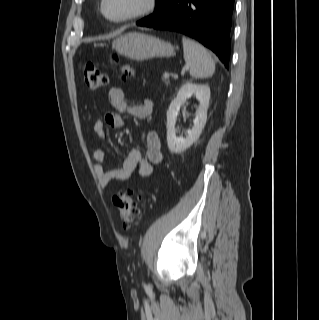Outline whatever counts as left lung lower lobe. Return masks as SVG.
I'll use <instances>...</instances> for the list:
<instances>
[{
  "mask_svg": "<svg viewBox=\"0 0 319 320\" xmlns=\"http://www.w3.org/2000/svg\"><path fill=\"white\" fill-rule=\"evenodd\" d=\"M234 0H163L138 26L172 30L195 38L229 67Z\"/></svg>",
  "mask_w": 319,
  "mask_h": 320,
  "instance_id": "0a47b994",
  "label": "left lung lower lobe"
}]
</instances>
